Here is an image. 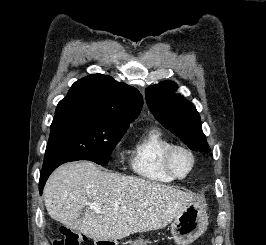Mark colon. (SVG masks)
<instances>
[{"mask_svg": "<svg viewBox=\"0 0 266 245\" xmlns=\"http://www.w3.org/2000/svg\"><path fill=\"white\" fill-rule=\"evenodd\" d=\"M61 234L63 237L55 240L53 245H83L85 242V239L81 234L71 231L66 226L61 228Z\"/></svg>", "mask_w": 266, "mask_h": 245, "instance_id": "1", "label": "colon"}]
</instances>
